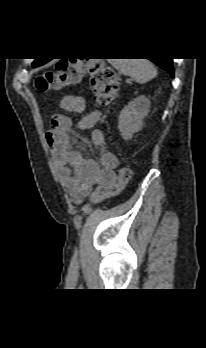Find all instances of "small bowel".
I'll return each instance as SVG.
<instances>
[{
  "label": "small bowel",
  "mask_w": 206,
  "mask_h": 348,
  "mask_svg": "<svg viewBox=\"0 0 206 348\" xmlns=\"http://www.w3.org/2000/svg\"><path fill=\"white\" fill-rule=\"evenodd\" d=\"M60 104L63 110L72 113H82L86 107L85 99L75 95L64 96ZM99 119L100 114L92 112L77 123L78 130H91L90 139L99 152V163L85 159L80 151L72 148L68 135L71 128L69 117L62 114L52 115L45 133L58 175L75 204L83 202L93 185H112L117 180L118 159L104 148V134L95 129Z\"/></svg>",
  "instance_id": "obj_1"
}]
</instances>
